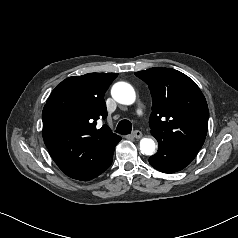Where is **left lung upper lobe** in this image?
Returning a JSON list of instances; mask_svg holds the SVG:
<instances>
[{"label": "left lung upper lobe", "mask_w": 238, "mask_h": 238, "mask_svg": "<svg viewBox=\"0 0 238 238\" xmlns=\"http://www.w3.org/2000/svg\"><path fill=\"white\" fill-rule=\"evenodd\" d=\"M135 75L150 88L151 134L158 143L169 142L199 151L207 134L208 106L196 83L169 68H150Z\"/></svg>", "instance_id": "5c2ea615"}]
</instances>
